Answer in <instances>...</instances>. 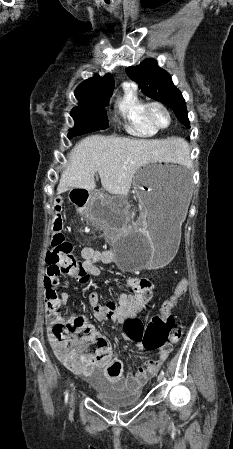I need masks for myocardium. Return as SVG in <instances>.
<instances>
[{"instance_id": "myocardium-1", "label": "myocardium", "mask_w": 233, "mask_h": 449, "mask_svg": "<svg viewBox=\"0 0 233 449\" xmlns=\"http://www.w3.org/2000/svg\"><path fill=\"white\" fill-rule=\"evenodd\" d=\"M155 107L162 109L166 113L167 118H168L166 125L160 126L153 120L151 112H152V109ZM144 116H145L146 121L156 130L166 129L171 125V122H172V115H171L170 110L164 103H162L160 101L147 102L144 107Z\"/></svg>"}]
</instances>
